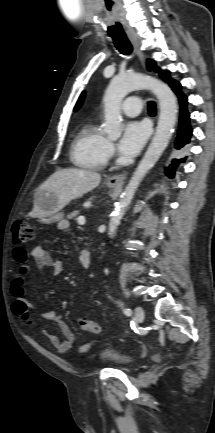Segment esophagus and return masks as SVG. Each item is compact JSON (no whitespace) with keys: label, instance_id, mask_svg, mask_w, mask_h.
Segmentation results:
<instances>
[{"label":"esophagus","instance_id":"esophagus-1","mask_svg":"<svg viewBox=\"0 0 215 433\" xmlns=\"http://www.w3.org/2000/svg\"><path fill=\"white\" fill-rule=\"evenodd\" d=\"M128 37H129L131 43L133 44L135 51H136L141 63L144 64L145 56L140 49V43H139V39H138L137 35L135 33H129ZM126 175H127V173H121V174L113 175L107 179V183L111 186L122 185L125 178H126Z\"/></svg>","mask_w":215,"mask_h":433}]
</instances>
